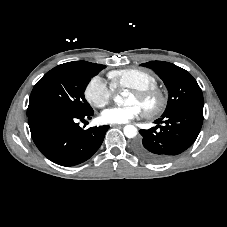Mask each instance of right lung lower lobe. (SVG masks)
Instances as JSON below:
<instances>
[{
	"label": "right lung lower lobe",
	"instance_id": "right-lung-lower-lobe-1",
	"mask_svg": "<svg viewBox=\"0 0 227 227\" xmlns=\"http://www.w3.org/2000/svg\"><path fill=\"white\" fill-rule=\"evenodd\" d=\"M84 113L39 111L28 116L31 136L37 148L52 162L74 166L88 160L101 146L109 126L80 128L78 120L91 119Z\"/></svg>",
	"mask_w": 227,
	"mask_h": 227
}]
</instances>
